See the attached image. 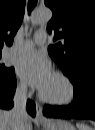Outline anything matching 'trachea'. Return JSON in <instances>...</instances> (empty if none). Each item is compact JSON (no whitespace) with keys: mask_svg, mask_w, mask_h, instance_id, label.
<instances>
[{"mask_svg":"<svg viewBox=\"0 0 95 130\" xmlns=\"http://www.w3.org/2000/svg\"><path fill=\"white\" fill-rule=\"evenodd\" d=\"M37 5V0L28 1V13L30 14L34 7Z\"/></svg>","mask_w":95,"mask_h":130,"instance_id":"1","label":"trachea"}]
</instances>
